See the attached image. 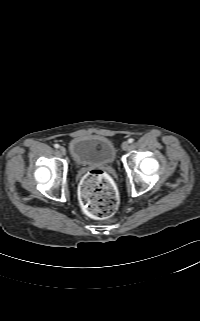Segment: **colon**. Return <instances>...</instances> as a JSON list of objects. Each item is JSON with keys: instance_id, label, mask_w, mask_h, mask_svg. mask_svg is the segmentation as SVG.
<instances>
[{"instance_id": "1", "label": "colon", "mask_w": 200, "mask_h": 321, "mask_svg": "<svg viewBox=\"0 0 200 321\" xmlns=\"http://www.w3.org/2000/svg\"><path fill=\"white\" fill-rule=\"evenodd\" d=\"M80 200L84 210L92 217H111L119 203L117 192L102 170L88 172L80 184Z\"/></svg>"}]
</instances>
